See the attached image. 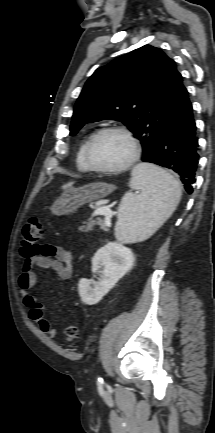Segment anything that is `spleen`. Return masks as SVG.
I'll list each match as a JSON object with an SVG mask.
<instances>
[{
  "label": "spleen",
  "mask_w": 215,
  "mask_h": 433,
  "mask_svg": "<svg viewBox=\"0 0 215 433\" xmlns=\"http://www.w3.org/2000/svg\"><path fill=\"white\" fill-rule=\"evenodd\" d=\"M129 186L141 193H126L119 205L115 236L124 243L149 238L172 215L181 198L180 183L149 163L133 168Z\"/></svg>",
  "instance_id": "1"
}]
</instances>
